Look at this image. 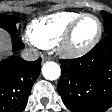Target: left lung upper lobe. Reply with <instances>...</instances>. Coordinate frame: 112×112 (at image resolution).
Masks as SVG:
<instances>
[{
	"instance_id": "left-lung-upper-lobe-1",
	"label": "left lung upper lobe",
	"mask_w": 112,
	"mask_h": 112,
	"mask_svg": "<svg viewBox=\"0 0 112 112\" xmlns=\"http://www.w3.org/2000/svg\"><path fill=\"white\" fill-rule=\"evenodd\" d=\"M101 14L104 19V29L106 34H111L112 33V14L106 12V11H101Z\"/></svg>"
}]
</instances>
